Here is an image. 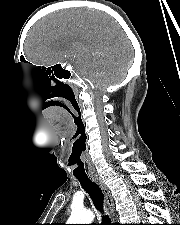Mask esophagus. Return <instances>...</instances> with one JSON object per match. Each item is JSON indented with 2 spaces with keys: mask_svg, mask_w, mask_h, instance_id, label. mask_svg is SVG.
Segmentation results:
<instances>
[{
  "mask_svg": "<svg viewBox=\"0 0 180 225\" xmlns=\"http://www.w3.org/2000/svg\"><path fill=\"white\" fill-rule=\"evenodd\" d=\"M91 178L101 188V190L104 194V199H105L107 211H108V213L111 217H114V215H115V205H114V201H113V198L111 196L109 188L107 187V185L104 183L103 179L99 175H92Z\"/></svg>",
  "mask_w": 180,
  "mask_h": 225,
  "instance_id": "esophagus-1",
  "label": "esophagus"
}]
</instances>
